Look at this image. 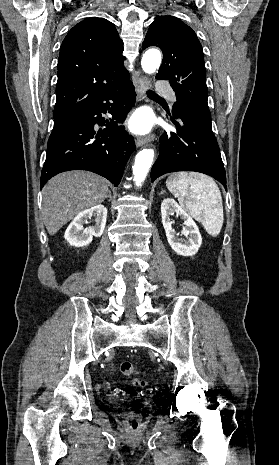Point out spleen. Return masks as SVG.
Returning <instances> with one entry per match:
<instances>
[{
  "label": "spleen",
  "instance_id": "obj_1",
  "mask_svg": "<svg viewBox=\"0 0 279 465\" xmlns=\"http://www.w3.org/2000/svg\"><path fill=\"white\" fill-rule=\"evenodd\" d=\"M168 190L211 236H217L223 225V205L220 190L206 175L179 172L166 180Z\"/></svg>",
  "mask_w": 279,
  "mask_h": 465
}]
</instances>
